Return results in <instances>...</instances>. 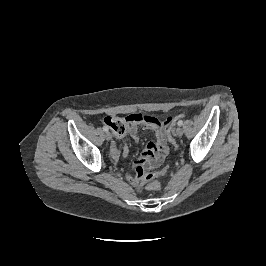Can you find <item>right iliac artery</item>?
Instances as JSON below:
<instances>
[{"mask_svg": "<svg viewBox=\"0 0 266 266\" xmlns=\"http://www.w3.org/2000/svg\"><path fill=\"white\" fill-rule=\"evenodd\" d=\"M108 130H109L108 127L106 126L103 127V131L107 132Z\"/></svg>", "mask_w": 266, "mask_h": 266, "instance_id": "1", "label": "right iliac artery"}]
</instances>
